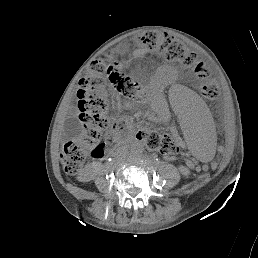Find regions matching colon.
Segmentation results:
<instances>
[{
	"instance_id": "1",
	"label": "colon",
	"mask_w": 258,
	"mask_h": 258,
	"mask_svg": "<svg viewBox=\"0 0 258 258\" xmlns=\"http://www.w3.org/2000/svg\"><path fill=\"white\" fill-rule=\"evenodd\" d=\"M137 43L148 50L162 49L168 59L179 61L185 66H194L195 75L201 81L202 95L208 99H215L218 96V86L210 78L206 65L197 62L195 54L185 51L175 38L149 31L141 34L137 38ZM108 84L113 85L124 96H130L137 86L133 79L117 68L114 56L105 53L90 64L88 73L81 79L77 91L76 99L85 132L82 142H69L63 149L62 163L69 174L79 170L87 150L91 154H103L112 142L104 135V131L110 125L106 116ZM139 133L143 143L151 150L163 155H175L179 152L178 142L169 135L157 130H141Z\"/></svg>"
}]
</instances>
